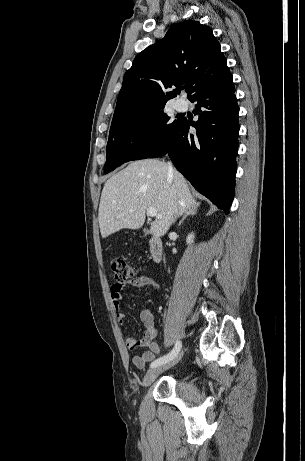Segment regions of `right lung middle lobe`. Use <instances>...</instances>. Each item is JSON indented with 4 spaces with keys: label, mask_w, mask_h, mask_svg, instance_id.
Listing matches in <instances>:
<instances>
[{
    "label": "right lung middle lobe",
    "mask_w": 305,
    "mask_h": 461,
    "mask_svg": "<svg viewBox=\"0 0 305 461\" xmlns=\"http://www.w3.org/2000/svg\"><path fill=\"white\" fill-rule=\"evenodd\" d=\"M163 107L130 116L111 126L105 174L125 162L147 158L165 144L180 119L170 120ZM149 125H154L155 131L148 130Z\"/></svg>",
    "instance_id": "1"
}]
</instances>
